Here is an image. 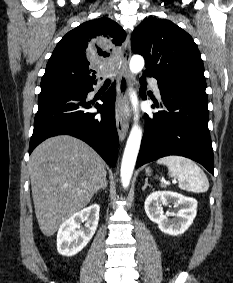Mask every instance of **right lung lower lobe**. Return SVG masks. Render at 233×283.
<instances>
[{"mask_svg":"<svg viewBox=\"0 0 233 283\" xmlns=\"http://www.w3.org/2000/svg\"><path fill=\"white\" fill-rule=\"evenodd\" d=\"M92 90V84L83 88L41 89L29 154L45 139L68 134L85 141L110 166H115L118 152L114 115L116 91L109 89L101 98L104 104L95 105L98 112L89 113L87 109L92 107V102L86 97Z\"/></svg>","mask_w":233,"mask_h":283,"instance_id":"1","label":"right lung lower lobe"}]
</instances>
